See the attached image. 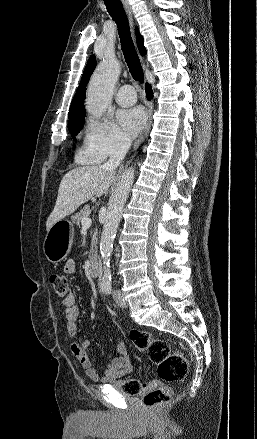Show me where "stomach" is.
<instances>
[{"label":"stomach","mask_w":257,"mask_h":439,"mask_svg":"<svg viewBox=\"0 0 257 439\" xmlns=\"http://www.w3.org/2000/svg\"><path fill=\"white\" fill-rule=\"evenodd\" d=\"M74 238L73 224L68 220H60L48 230L43 243L46 258L52 263L63 260L71 250Z\"/></svg>","instance_id":"0dacf381"}]
</instances>
